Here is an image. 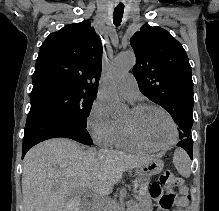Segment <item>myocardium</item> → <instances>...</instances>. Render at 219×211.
<instances>
[{
	"label": "myocardium",
	"mask_w": 219,
	"mask_h": 211,
	"mask_svg": "<svg viewBox=\"0 0 219 211\" xmlns=\"http://www.w3.org/2000/svg\"><path fill=\"white\" fill-rule=\"evenodd\" d=\"M156 108L158 110H160L161 112H163L169 119L171 125H172V129H173V138L171 140V142H169L166 145L163 146H156V145H152L150 143H148L145 139H143V137L138 133V131L135 129V127L133 126L132 123L128 122V121H124V125L125 128L129 134V136L132 138V140L134 142H136L137 144H139L140 146L146 148V149H150V150H167L171 147H173L178 139V128H177V124L173 118V116L171 115V113L164 108L163 106L156 104V103H152V102H144V103H139L136 104L132 107V111H141L145 108Z\"/></svg>",
	"instance_id": "myocardium-1"
}]
</instances>
